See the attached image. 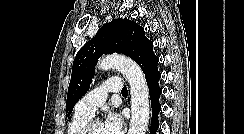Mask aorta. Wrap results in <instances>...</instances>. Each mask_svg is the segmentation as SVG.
<instances>
[{"instance_id":"762f6f07","label":"aorta","mask_w":244,"mask_h":134,"mask_svg":"<svg viewBox=\"0 0 244 134\" xmlns=\"http://www.w3.org/2000/svg\"><path fill=\"white\" fill-rule=\"evenodd\" d=\"M101 70L118 69L128 80L131 94L130 128L128 134H146L149 116V89L141 68L130 58L109 55L98 63Z\"/></svg>"}]
</instances>
